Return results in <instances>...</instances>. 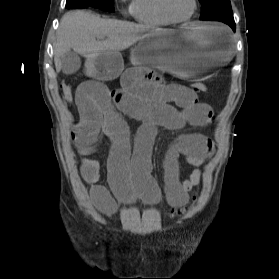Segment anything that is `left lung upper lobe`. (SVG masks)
Returning a JSON list of instances; mask_svg holds the SVG:
<instances>
[{
  "mask_svg": "<svg viewBox=\"0 0 279 279\" xmlns=\"http://www.w3.org/2000/svg\"><path fill=\"white\" fill-rule=\"evenodd\" d=\"M202 5L200 20L221 21L233 18L230 0H199Z\"/></svg>",
  "mask_w": 279,
  "mask_h": 279,
  "instance_id": "1",
  "label": "left lung upper lobe"
}]
</instances>
